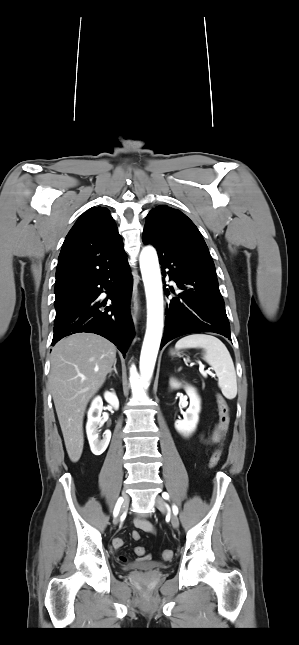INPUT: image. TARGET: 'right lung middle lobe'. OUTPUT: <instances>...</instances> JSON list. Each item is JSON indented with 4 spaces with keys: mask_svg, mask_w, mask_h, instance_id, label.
<instances>
[{
    "mask_svg": "<svg viewBox=\"0 0 299 645\" xmlns=\"http://www.w3.org/2000/svg\"><path fill=\"white\" fill-rule=\"evenodd\" d=\"M79 286H74L70 288L61 289L55 291V309L56 311L64 307L71 299L79 294Z\"/></svg>",
    "mask_w": 299,
    "mask_h": 645,
    "instance_id": "obj_1",
    "label": "right lung middle lobe"
}]
</instances>
